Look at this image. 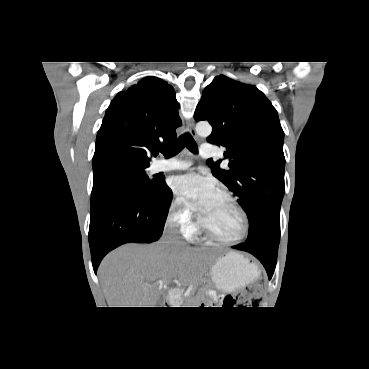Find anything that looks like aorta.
I'll return each mask as SVG.
<instances>
[{"label":"aorta","mask_w":369,"mask_h":369,"mask_svg":"<svg viewBox=\"0 0 369 369\" xmlns=\"http://www.w3.org/2000/svg\"><path fill=\"white\" fill-rule=\"evenodd\" d=\"M211 132H212V127L208 122H199L196 125V133L199 136L206 137V136H209Z\"/></svg>","instance_id":"762f6f07"}]
</instances>
